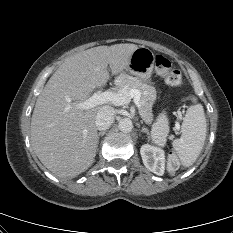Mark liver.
<instances>
[{"label":"liver","instance_id":"obj_1","mask_svg":"<svg viewBox=\"0 0 233 233\" xmlns=\"http://www.w3.org/2000/svg\"><path fill=\"white\" fill-rule=\"evenodd\" d=\"M135 44L98 46L64 60L38 96L31 119V141L42 164L60 178L86 171L96 156L95 120L103 106L82 109L96 87L125 70Z\"/></svg>","mask_w":233,"mask_h":233}]
</instances>
